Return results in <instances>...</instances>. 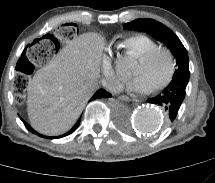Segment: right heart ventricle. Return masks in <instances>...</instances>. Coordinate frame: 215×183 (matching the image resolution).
<instances>
[{
	"mask_svg": "<svg viewBox=\"0 0 215 183\" xmlns=\"http://www.w3.org/2000/svg\"><path fill=\"white\" fill-rule=\"evenodd\" d=\"M120 46L128 53L139 56L153 48L158 47V43L150 36L143 33H134L125 37Z\"/></svg>",
	"mask_w": 215,
	"mask_h": 183,
	"instance_id": "right-heart-ventricle-1",
	"label": "right heart ventricle"
}]
</instances>
